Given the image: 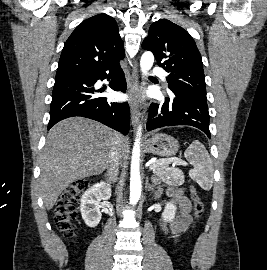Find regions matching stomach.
Here are the masks:
<instances>
[{
    "label": "stomach",
    "instance_id": "obj_1",
    "mask_svg": "<svg viewBox=\"0 0 267 270\" xmlns=\"http://www.w3.org/2000/svg\"><path fill=\"white\" fill-rule=\"evenodd\" d=\"M178 148V141L174 137L163 133L154 134L145 143V150L147 152L163 157L175 155Z\"/></svg>",
    "mask_w": 267,
    "mask_h": 270
}]
</instances>
